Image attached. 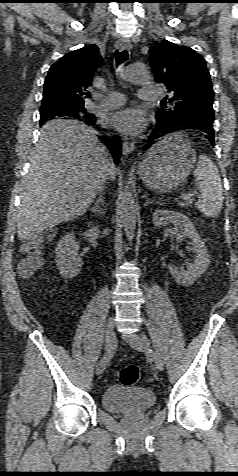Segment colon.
Segmentation results:
<instances>
[{
	"label": "colon",
	"mask_w": 238,
	"mask_h": 476,
	"mask_svg": "<svg viewBox=\"0 0 238 476\" xmlns=\"http://www.w3.org/2000/svg\"><path fill=\"white\" fill-rule=\"evenodd\" d=\"M35 245L25 247V258L19 264L18 272L22 278L30 277L41 263L40 253L34 250ZM116 380L128 386L139 383L141 370L136 365L126 366L116 372Z\"/></svg>",
	"instance_id": "1"
}]
</instances>
